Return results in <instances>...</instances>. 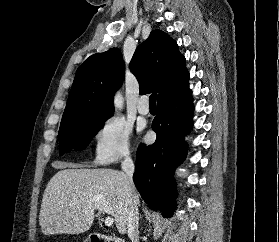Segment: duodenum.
<instances>
[{
	"label": "duodenum",
	"mask_w": 279,
	"mask_h": 242,
	"mask_svg": "<svg viewBox=\"0 0 279 242\" xmlns=\"http://www.w3.org/2000/svg\"><path fill=\"white\" fill-rule=\"evenodd\" d=\"M91 242H124L120 238L110 237L103 234H93L91 236Z\"/></svg>",
	"instance_id": "1"
}]
</instances>
